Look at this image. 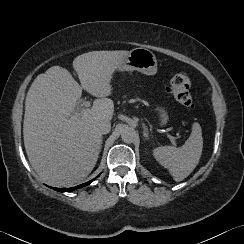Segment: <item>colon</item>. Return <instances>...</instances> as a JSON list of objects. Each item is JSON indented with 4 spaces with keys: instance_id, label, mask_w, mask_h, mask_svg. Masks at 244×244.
<instances>
[{
    "instance_id": "5ec220e1",
    "label": "colon",
    "mask_w": 244,
    "mask_h": 244,
    "mask_svg": "<svg viewBox=\"0 0 244 244\" xmlns=\"http://www.w3.org/2000/svg\"><path fill=\"white\" fill-rule=\"evenodd\" d=\"M192 81L188 74L180 72L175 74L170 80L169 91L175 100L186 108L194 106V100L190 93Z\"/></svg>"
}]
</instances>
